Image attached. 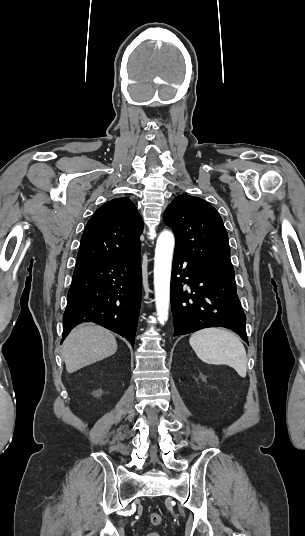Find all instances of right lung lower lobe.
I'll use <instances>...</instances> for the list:
<instances>
[{
	"label": "right lung lower lobe",
	"mask_w": 305,
	"mask_h": 536,
	"mask_svg": "<svg viewBox=\"0 0 305 536\" xmlns=\"http://www.w3.org/2000/svg\"><path fill=\"white\" fill-rule=\"evenodd\" d=\"M141 304L140 252L75 269L63 317V338L91 321L118 333L134 346Z\"/></svg>",
	"instance_id": "obj_1"
}]
</instances>
